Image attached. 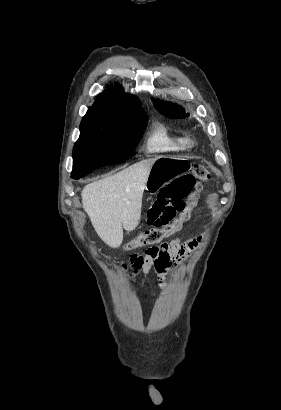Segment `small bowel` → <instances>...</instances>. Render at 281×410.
Instances as JSON below:
<instances>
[{
  "mask_svg": "<svg viewBox=\"0 0 281 410\" xmlns=\"http://www.w3.org/2000/svg\"><path fill=\"white\" fill-rule=\"evenodd\" d=\"M200 239V237L176 238L158 246H152L144 254L132 255L128 264L123 265V270L128 273L129 277L144 281L154 268L158 276L159 287L164 289L165 276L169 269L180 265L197 246Z\"/></svg>",
  "mask_w": 281,
  "mask_h": 410,
  "instance_id": "c3829d8e",
  "label": "small bowel"
}]
</instances>
